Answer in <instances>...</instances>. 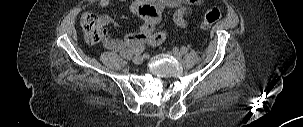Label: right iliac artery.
<instances>
[{"mask_svg": "<svg viewBox=\"0 0 303 127\" xmlns=\"http://www.w3.org/2000/svg\"><path fill=\"white\" fill-rule=\"evenodd\" d=\"M145 50L144 46H137L132 49V53L135 55L141 54Z\"/></svg>", "mask_w": 303, "mask_h": 127, "instance_id": "right-iliac-artery-1", "label": "right iliac artery"}]
</instances>
